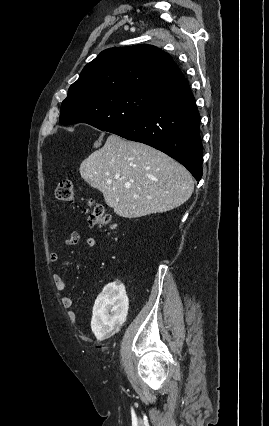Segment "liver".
<instances>
[{"label": "liver", "mask_w": 269, "mask_h": 426, "mask_svg": "<svg viewBox=\"0 0 269 426\" xmlns=\"http://www.w3.org/2000/svg\"><path fill=\"white\" fill-rule=\"evenodd\" d=\"M81 177L124 218L163 213L184 204L194 181L180 163L146 144L111 134L80 165Z\"/></svg>", "instance_id": "obj_1"}]
</instances>
